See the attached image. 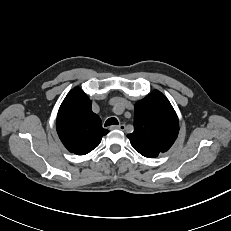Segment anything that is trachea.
<instances>
[{
  "instance_id": "1",
  "label": "trachea",
  "mask_w": 231,
  "mask_h": 231,
  "mask_svg": "<svg viewBox=\"0 0 231 231\" xmlns=\"http://www.w3.org/2000/svg\"><path fill=\"white\" fill-rule=\"evenodd\" d=\"M118 120L116 118H109L106 122H105V126H111V125H118Z\"/></svg>"
}]
</instances>
